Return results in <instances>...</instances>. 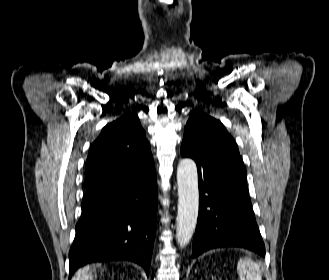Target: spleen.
Wrapping results in <instances>:
<instances>
[{
	"mask_svg": "<svg viewBox=\"0 0 329 280\" xmlns=\"http://www.w3.org/2000/svg\"><path fill=\"white\" fill-rule=\"evenodd\" d=\"M237 271L240 280H262L260 267L250 258H241L237 263Z\"/></svg>",
	"mask_w": 329,
	"mask_h": 280,
	"instance_id": "obj_1",
	"label": "spleen"
}]
</instances>
